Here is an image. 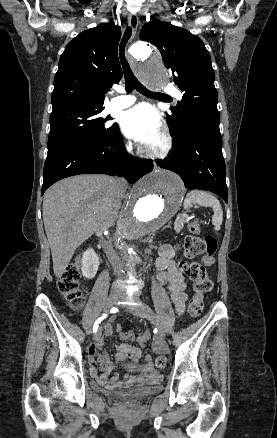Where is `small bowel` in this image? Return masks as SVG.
I'll list each match as a JSON object with an SVG mask.
<instances>
[{"mask_svg":"<svg viewBox=\"0 0 277 438\" xmlns=\"http://www.w3.org/2000/svg\"><path fill=\"white\" fill-rule=\"evenodd\" d=\"M175 249L170 245H164L161 247L159 257L156 260V267L158 269V280L160 283H168L171 294V299L175 305L176 312L182 314L185 311V302L187 299L185 290L187 287V281L181 271L179 270L175 261ZM105 337L110 338L113 335L112 328L109 325L103 327ZM150 334L148 332L142 333L138 338V347L122 343L118 347L116 359L123 361L124 359H130L131 363L127 366V369L131 372H137L140 375L147 376L150 380L155 381L157 379V373L152 363V356L147 354L145 356V363L138 364L137 359L140 356V348H145L149 340ZM124 340L133 341L136 338L135 333L126 332L123 335ZM97 345H100L97 343ZM101 361L100 369L101 374L97 373L95 367L91 369V374L94 375L98 384L107 389L116 388L120 382L117 375L109 377V373L112 370V364L102 355H98L96 351V344H93L89 351V360L91 363H95V360ZM132 378H136V374L132 375Z\"/></svg>","mask_w":277,"mask_h":438,"instance_id":"1","label":"small bowel"}]
</instances>
